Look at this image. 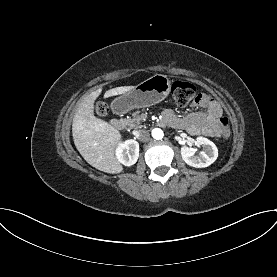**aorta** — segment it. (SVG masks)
I'll return each mask as SVG.
<instances>
[{
    "label": "aorta",
    "mask_w": 277,
    "mask_h": 277,
    "mask_svg": "<svg viewBox=\"0 0 277 277\" xmlns=\"http://www.w3.org/2000/svg\"><path fill=\"white\" fill-rule=\"evenodd\" d=\"M152 136H153L154 139L159 140V139L163 138L164 133L161 129L155 128V129L152 130Z\"/></svg>",
    "instance_id": "762f6f07"
}]
</instances>
